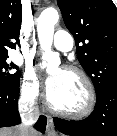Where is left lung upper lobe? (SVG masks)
<instances>
[{
  "label": "left lung upper lobe",
  "mask_w": 117,
  "mask_h": 136,
  "mask_svg": "<svg viewBox=\"0 0 117 136\" xmlns=\"http://www.w3.org/2000/svg\"><path fill=\"white\" fill-rule=\"evenodd\" d=\"M78 60L96 94L117 81V10L112 0H57Z\"/></svg>",
  "instance_id": "obj_1"
}]
</instances>
